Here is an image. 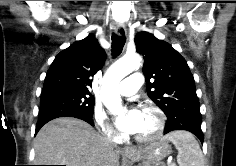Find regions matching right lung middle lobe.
<instances>
[{"label":"right lung middle lobe","mask_w":236,"mask_h":166,"mask_svg":"<svg viewBox=\"0 0 236 166\" xmlns=\"http://www.w3.org/2000/svg\"><path fill=\"white\" fill-rule=\"evenodd\" d=\"M94 102V97L87 92L65 88L42 91L39 118L62 114L70 110L80 111L92 116Z\"/></svg>","instance_id":"dd1d6c3e"}]
</instances>
